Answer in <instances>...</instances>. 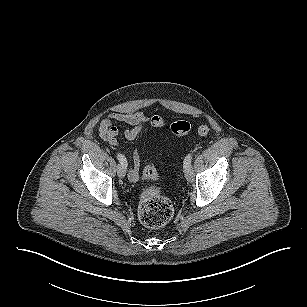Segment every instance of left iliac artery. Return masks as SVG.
<instances>
[{
    "label": "left iliac artery",
    "instance_id": "44dca946",
    "mask_svg": "<svg viewBox=\"0 0 307 307\" xmlns=\"http://www.w3.org/2000/svg\"><path fill=\"white\" fill-rule=\"evenodd\" d=\"M192 157L193 155L192 154H188L185 159H184V168H186L187 166H189L191 164V161H192Z\"/></svg>",
    "mask_w": 307,
    "mask_h": 307
}]
</instances>
